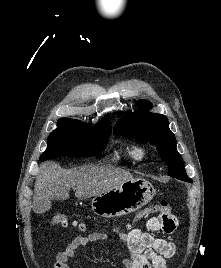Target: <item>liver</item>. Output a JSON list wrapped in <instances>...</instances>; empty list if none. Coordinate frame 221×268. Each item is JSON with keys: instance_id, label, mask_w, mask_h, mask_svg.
I'll return each instance as SVG.
<instances>
[{"instance_id": "6515ba94", "label": "liver", "mask_w": 221, "mask_h": 268, "mask_svg": "<svg viewBox=\"0 0 221 268\" xmlns=\"http://www.w3.org/2000/svg\"><path fill=\"white\" fill-rule=\"evenodd\" d=\"M132 179L128 171L113 166L85 165L65 170L53 162L43 163L35 181L33 210L36 213L48 211L52 200L68 199L73 187H76L75 197L82 200L115 189Z\"/></svg>"}]
</instances>
